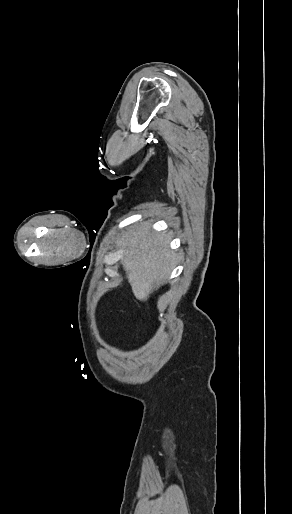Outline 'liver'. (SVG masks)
<instances>
[{
  "label": "liver",
  "mask_w": 292,
  "mask_h": 514,
  "mask_svg": "<svg viewBox=\"0 0 292 514\" xmlns=\"http://www.w3.org/2000/svg\"><path fill=\"white\" fill-rule=\"evenodd\" d=\"M151 228L148 222L131 228L120 246L121 264L135 298L141 302H146L159 282L169 278L175 268L174 254L169 248L171 232H152Z\"/></svg>",
  "instance_id": "1"
}]
</instances>
